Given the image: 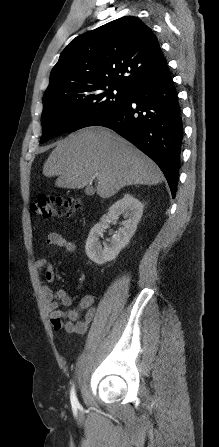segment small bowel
<instances>
[{"instance_id":"c3829d8e","label":"small bowel","mask_w":219,"mask_h":447,"mask_svg":"<svg viewBox=\"0 0 219 447\" xmlns=\"http://www.w3.org/2000/svg\"><path fill=\"white\" fill-rule=\"evenodd\" d=\"M46 243L52 247L63 249L73 253L76 249L72 241L67 240L59 233H50ZM36 267L44 270V278L47 283L55 282V272L47 257L37 260ZM43 302L48 313V318L55 331L65 330L68 333L83 334L87 331L94 317V297L84 295L75 308L61 310L60 306H70L73 302L71 295L64 289L53 291L48 285L42 287ZM83 314L82 319H80Z\"/></svg>"}]
</instances>
